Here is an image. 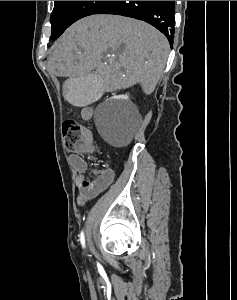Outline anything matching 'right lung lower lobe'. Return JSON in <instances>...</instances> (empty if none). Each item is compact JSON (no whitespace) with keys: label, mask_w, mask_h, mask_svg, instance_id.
Instances as JSON below:
<instances>
[{"label":"right lung lower lobe","mask_w":237,"mask_h":300,"mask_svg":"<svg viewBox=\"0 0 237 300\" xmlns=\"http://www.w3.org/2000/svg\"><path fill=\"white\" fill-rule=\"evenodd\" d=\"M175 1H106L94 14H116L143 20L161 31L173 46Z\"/></svg>","instance_id":"98d812e1"}]
</instances>
